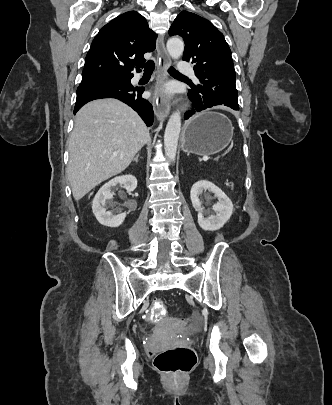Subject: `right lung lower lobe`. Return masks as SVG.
Masks as SVG:
<instances>
[{"label": "right lung lower lobe", "mask_w": 332, "mask_h": 405, "mask_svg": "<svg viewBox=\"0 0 332 405\" xmlns=\"http://www.w3.org/2000/svg\"><path fill=\"white\" fill-rule=\"evenodd\" d=\"M129 77L124 82L95 81L80 85L77 88V101L74 114L87 102L101 98H116L132 107L144 120L147 126L153 123L152 105L142 98L143 87H133Z\"/></svg>", "instance_id": "1"}]
</instances>
